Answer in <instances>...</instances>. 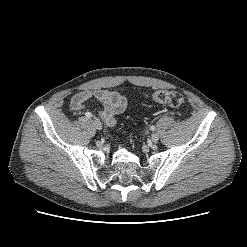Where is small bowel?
<instances>
[{
	"label": "small bowel",
	"mask_w": 247,
	"mask_h": 247,
	"mask_svg": "<svg viewBox=\"0 0 247 247\" xmlns=\"http://www.w3.org/2000/svg\"><path fill=\"white\" fill-rule=\"evenodd\" d=\"M94 98L103 105V108L98 112V116L103 119L109 127H114L116 125V116L126 110L127 100L119 93L106 89L82 91L71 98L70 108L72 110H81L88 101Z\"/></svg>",
	"instance_id": "obj_1"
}]
</instances>
